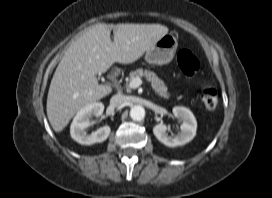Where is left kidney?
<instances>
[{
    "instance_id": "left-kidney-1",
    "label": "left kidney",
    "mask_w": 272,
    "mask_h": 198,
    "mask_svg": "<svg viewBox=\"0 0 272 198\" xmlns=\"http://www.w3.org/2000/svg\"><path fill=\"white\" fill-rule=\"evenodd\" d=\"M173 114L182 120L181 132L172 137L166 133L165 124H157L153 127L155 137L168 147L182 146L190 142L196 135L197 121L193 113L186 107L176 106L173 108Z\"/></svg>"
}]
</instances>
